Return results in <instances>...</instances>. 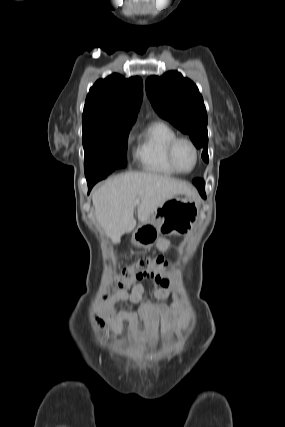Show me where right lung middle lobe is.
Wrapping results in <instances>:
<instances>
[{
  "instance_id": "1",
  "label": "right lung middle lobe",
  "mask_w": 285,
  "mask_h": 427,
  "mask_svg": "<svg viewBox=\"0 0 285 427\" xmlns=\"http://www.w3.org/2000/svg\"><path fill=\"white\" fill-rule=\"evenodd\" d=\"M132 124H83L85 176L87 181L103 178L127 164V138Z\"/></svg>"
}]
</instances>
